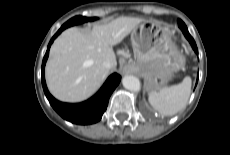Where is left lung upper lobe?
Listing matches in <instances>:
<instances>
[{"instance_id":"left-lung-upper-lobe-1","label":"left lung upper lobe","mask_w":230,"mask_h":155,"mask_svg":"<svg viewBox=\"0 0 230 155\" xmlns=\"http://www.w3.org/2000/svg\"><path fill=\"white\" fill-rule=\"evenodd\" d=\"M177 22H178V26L182 30V32L186 31V30L188 31L186 25L184 24V22L182 20L178 19Z\"/></svg>"}]
</instances>
